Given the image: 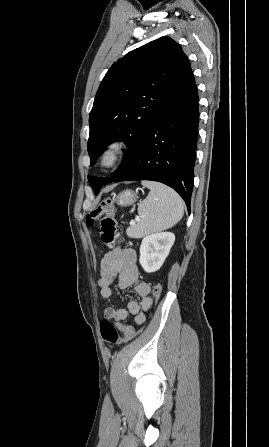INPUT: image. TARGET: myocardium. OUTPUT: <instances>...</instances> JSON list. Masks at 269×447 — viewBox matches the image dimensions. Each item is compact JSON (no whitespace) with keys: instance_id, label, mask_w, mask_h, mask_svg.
<instances>
[{"instance_id":"myocardium-1","label":"myocardium","mask_w":269,"mask_h":447,"mask_svg":"<svg viewBox=\"0 0 269 447\" xmlns=\"http://www.w3.org/2000/svg\"><path fill=\"white\" fill-rule=\"evenodd\" d=\"M128 147V143L124 140L116 139L110 141L100 154V167L109 170L118 165L125 156Z\"/></svg>"}]
</instances>
